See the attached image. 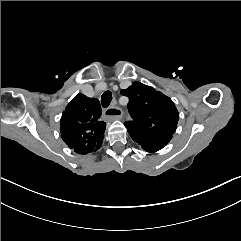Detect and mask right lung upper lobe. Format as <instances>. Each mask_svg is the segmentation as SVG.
Wrapping results in <instances>:
<instances>
[{"mask_svg":"<svg viewBox=\"0 0 241 241\" xmlns=\"http://www.w3.org/2000/svg\"><path fill=\"white\" fill-rule=\"evenodd\" d=\"M98 99L78 94L66 106L60 120L63 141L76 153L86 155L97 151L103 143L106 123L101 121Z\"/></svg>","mask_w":241,"mask_h":241,"instance_id":"1","label":"right lung upper lobe"}]
</instances>
